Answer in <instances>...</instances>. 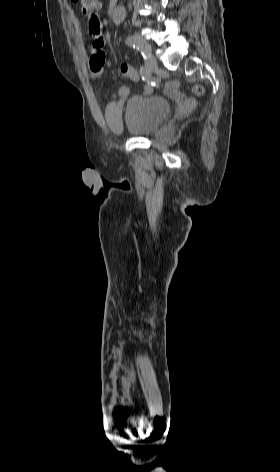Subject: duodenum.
Instances as JSON below:
<instances>
[{"label":"duodenum","instance_id":"1","mask_svg":"<svg viewBox=\"0 0 280 472\" xmlns=\"http://www.w3.org/2000/svg\"><path fill=\"white\" fill-rule=\"evenodd\" d=\"M125 9L123 7L117 6L113 9L111 19L114 24L121 23L125 18Z\"/></svg>","mask_w":280,"mask_h":472}]
</instances>
